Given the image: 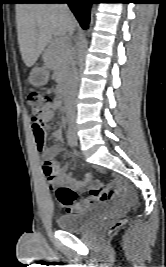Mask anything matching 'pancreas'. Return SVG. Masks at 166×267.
I'll return each instance as SVG.
<instances>
[{
    "mask_svg": "<svg viewBox=\"0 0 166 267\" xmlns=\"http://www.w3.org/2000/svg\"><path fill=\"white\" fill-rule=\"evenodd\" d=\"M70 46L64 41L56 40L45 50L43 59L54 72V76L63 81L69 71Z\"/></svg>",
    "mask_w": 166,
    "mask_h": 267,
    "instance_id": "cf45deb5",
    "label": "pancreas"
}]
</instances>
